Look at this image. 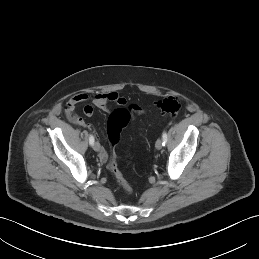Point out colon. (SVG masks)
I'll list each match as a JSON object with an SVG mask.
<instances>
[{
	"label": "colon",
	"mask_w": 259,
	"mask_h": 259,
	"mask_svg": "<svg viewBox=\"0 0 259 259\" xmlns=\"http://www.w3.org/2000/svg\"><path fill=\"white\" fill-rule=\"evenodd\" d=\"M65 109L69 118L76 122L77 117L73 113L74 106L69 102L66 104ZM157 109L164 116L175 117L181 110V103L175 97H168L157 103ZM130 120L131 114L127 109L117 108L111 112L107 122V136L111 150L107 153L105 161L107 162L109 171L126 194H130L132 192V187L124 178L117 166L115 147L120 141L124 129L130 123Z\"/></svg>",
	"instance_id": "colon-1"
}]
</instances>
